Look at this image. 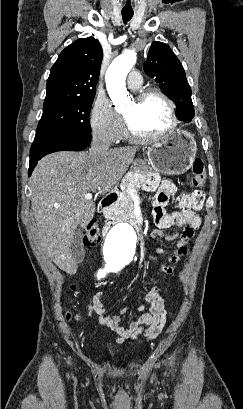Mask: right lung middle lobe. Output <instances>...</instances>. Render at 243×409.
Listing matches in <instances>:
<instances>
[{
    "mask_svg": "<svg viewBox=\"0 0 243 409\" xmlns=\"http://www.w3.org/2000/svg\"><path fill=\"white\" fill-rule=\"evenodd\" d=\"M94 97L44 101L37 132L91 135L89 113Z\"/></svg>",
    "mask_w": 243,
    "mask_h": 409,
    "instance_id": "right-lung-middle-lobe-1",
    "label": "right lung middle lobe"
}]
</instances>
